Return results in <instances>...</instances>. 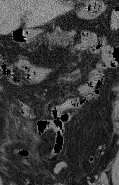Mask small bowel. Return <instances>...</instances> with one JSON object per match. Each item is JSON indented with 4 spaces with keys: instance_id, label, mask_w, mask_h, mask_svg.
I'll use <instances>...</instances> for the list:
<instances>
[{
    "instance_id": "obj_1",
    "label": "small bowel",
    "mask_w": 119,
    "mask_h": 185,
    "mask_svg": "<svg viewBox=\"0 0 119 185\" xmlns=\"http://www.w3.org/2000/svg\"><path fill=\"white\" fill-rule=\"evenodd\" d=\"M75 48L80 51L89 50L93 54L101 55V61L91 71L89 80L78 87L80 97L69 98L53 106L51 108L52 119L50 120H27L29 109L24 104L18 103L19 119L26 131L38 136L44 135L47 132L55 135L53 148L44 156L34 155L26 149L18 151L21 161L27 166H31L29 158L36 162H44L59 154L65 157L64 133L68 123L89 100L97 97L98 89L105 78V71L112 70L119 64V48L109 44L105 37H99L94 32L84 31L81 35V41ZM14 69L22 71L25 79L32 84L45 81L51 74L50 70L36 67L26 59H19L13 63H5L2 66V70L7 80L15 85H20L22 82L15 77ZM66 168L67 162L62 160L56 164L51 173L58 175L64 172ZM39 173L46 174L47 171L39 170Z\"/></svg>"
}]
</instances>
